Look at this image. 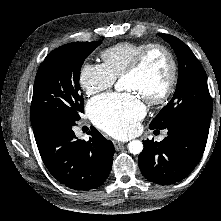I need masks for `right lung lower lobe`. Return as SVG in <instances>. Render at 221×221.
I'll use <instances>...</instances> for the list:
<instances>
[{
  "mask_svg": "<svg viewBox=\"0 0 221 221\" xmlns=\"http://www.w3.org/2000/svg\"><path fill=\"white\" fill-rule=\"evenodd\" d=\"M76 121L51 117L33 125L41 158L60 183L75 190L95 189L107 179L115 152L111 141L94 127L89 141L78 140Z\"/></svg>",
  "mask_w": 221,
  "mask_h": 221,
  "instance_id": "obj_1",
  "label": "right lung lower lobe"
}]
</instances>
